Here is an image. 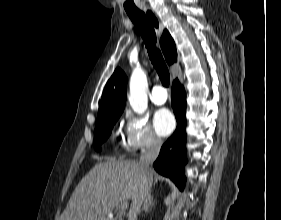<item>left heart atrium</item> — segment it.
Returning a JSON list of instances; mask_svg holds the SVG:
<instances>
[{"instance_id": "39dd6f15", "label": "left heart atrium", "mask_w": 281, "mask_h": 220, "mask_svg": "<svg viewBox=\"0 0 281 220\" xmlns=\"http://www.w3.org/2000/svg\"><path fill=\"white\" fill-rule=\"evenodd\" d=\"M153 125L159 136L169 135L175 128V119L168 109H159L153 118Z\"/></svg>"}]
</instances>
